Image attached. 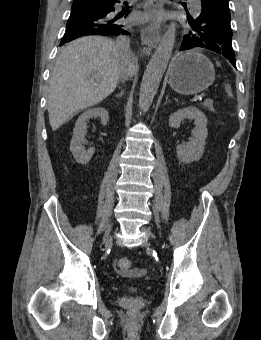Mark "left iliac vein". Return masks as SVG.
<instances>
[{
  "mask_svg": "<svg viewBox=\"0 0 261 340\" xmlns=\"http://www.w3.org/2000/svg\"><path fill=\"white\" fill-rule=\"evenodd\" d=\"M142 230L146 233V234H148L149 236H152V233H151V231L149 230V229H147V228H142Z\"/></svg>",
  "mask_w": 261,
  "mask_h": 340,
  "instance_id": "1",
  "label": "left iliac vein"
}]
</instances>
